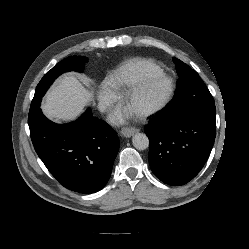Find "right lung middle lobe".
Returning <instances> with one entry per match:
<instances>
[{
  "instance_id": "1",
  "label": "right lung middle lobe",
  "mask_w": 249,
  "mask_h": 249,
  "mask_svg": "<svg viewBox=\"0 0 249 249\" xmlns=\"http://www.w3.org/2000/svg\"><path fill=\"white\" fill-rule=\"evenodd\" d=\"M88 62V58L82 56H70L65 58L61 62H59L56 66H54L44 77L41 79L39 84L36 87L35 95L33 98V102L31 103L29 114H33L36 111L35 102L38 99H42L43 95L49 88V86L53 83V81L62 73L68 71H77L82 72L83 66Z\"/></svg>"
}]
</instances>
